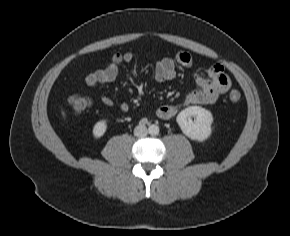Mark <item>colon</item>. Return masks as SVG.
<instances>
[{
	"label": "colon",
	"mask_w": 290,
	"mask_h": 236,
	"mask_svg": "<svg viewBox=\"0 0 290 236\" xmlns=\"http://www.w3.org/2000/svg\"><path fill=\"white\" fill-rule=\"evenodd\" d=\"M229 99L233 103H237L241 99V93L237 90H232L229 93ZM68 102L76 114H82L87 111L91 106V99L83 96L74 94L68 98Z\"/></svg>",
	"instance_id": "5ec220e1"
}]
</instances>
